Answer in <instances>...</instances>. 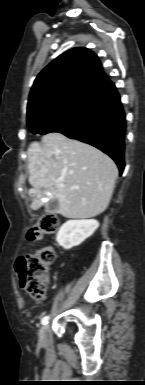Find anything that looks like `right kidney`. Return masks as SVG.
<instances>
[{"label":"right kidney","instance_id":"ca27d5eb","mask_svg":"<svg viewBox=\"0 0 145 385\" xmlns=\"http://www.w3.org/2000/svg\"><path fill=\"white\" fill-rule=\"evenodd\" d=\"M99 227L97 220H69L59 229L56 241L59 246L69 250L80 245Z\"/></svg>","mask_w":145,"mask_h":385}]
</instances>
